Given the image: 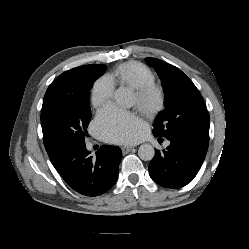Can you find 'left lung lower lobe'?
<instances>
[{"instance_id": "1", "label": "left lung lower lobe", "mask_w": 249, "mask_h": 249, "mask_svg": "<svg viewBox=\"0 0 249 249\" xmlns=\"http://www.w3.org/2000/svg\"><path fill=\"white\" fill-rule=\"evenodd\" d=\"M209 142L194 139L170 140V145L156 150L149 165L151 178L167 188H180L194 179L199 171Z\"/></svg>"}]
</instances>
